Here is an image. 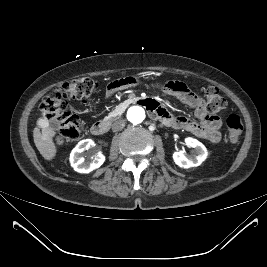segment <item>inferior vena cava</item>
I'll list each match as a JSON object with an SVG mask.
<instances>
[{
  "label": "inferior vena cava",
  "instance_id": "602c4592",
  "mask_svg": "<svg viewBox=\"0 0 267 267\" xmlns=\"http://www.w3.org/2000/svg\"><path fill=\"white\" fill-rule=\"evenodd\" d=\"M125 127V120L124 119H118L116 121H114V123L112 124V130L114 132L120 131Z\"/></svg>",
  "mask_w": 267,
  "mask_h": 267
}]
</instances>
